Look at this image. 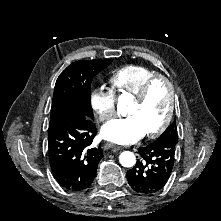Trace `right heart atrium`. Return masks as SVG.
<instances>
[{
    "label": "right heart atrium",
    "instance_id": "1",
    "mask_svg": "<svg viewBox=\"0 0 221 221\" xmlns=\"http://www.w3.org/2000/svg\"><path fill=\"white\" fill-rule=\"evenodd\" d=\"M90 104L101 122H106L115 115L116 96L110 89H94L90 96Z\"/></svg>",
    "mask_w": 221,
    "mask_h": 221
}]
</instances>
